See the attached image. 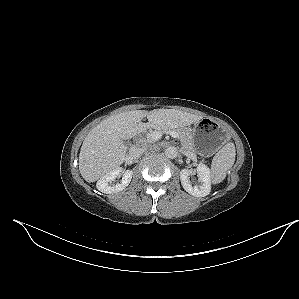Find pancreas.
Instances as JSON below:
<instances>
[{
	"mask_svg": "<svg viewBox=\"0 0 299 299\" xmlns=\"http://www.w3.org/2000/svg\"><path fill=\"white\" fill-rule=\"evenodd\" d=\"M168 131H175L178 134V138L181 140L182 145L190 152H193V145H192V142L190 139L191 132L188 128H184V129L163 128V129H160L161 133H167Z\"/></svg>",
	"mask_w": 299,
	"mask_h": 299,
	"instance_id": "cf45deb5",
	"label": "pancreas"
}]
</instances>
